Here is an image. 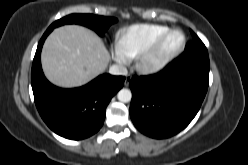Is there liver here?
I'll list each match as a JSON object with an SVG mask.
<instances>
[{"instance_id": "liver-1", "label": "liver", "mask_w": 248, "mask_h": 165, "mask_svg": "<svg viewBox=\"0 0 248 165\" xmlns=\"http://www.w3.org/2000/svg\"><path fill=\"white\" fill-rule=\"evenodd\" d=\"M111 57L103 41L93 31L78 25L56 28L46 39L42 68L56 86H82L103 73Z\"/></svg>"}]
</instances>
